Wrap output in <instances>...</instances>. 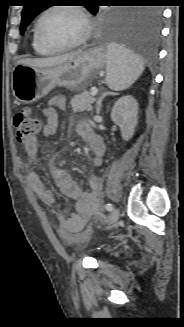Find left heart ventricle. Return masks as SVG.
Returning a JSON list of instances; mask_svg holds the SVG:
<instances>
[{
    "label": "left heart ventricle",
    "mask_w": 184,
    "mask_h": 327,
    "mask_svg": "<svg viewBox=\"0 0 184 327\" xmlns=\"http://www.w3.org/2000/svg\"><path fill=\"white\" fill-rule=\"evenodd\" d=\"M84 32L79 15L68 9H57L47 14L41 23V33L51 44L61 46L78 40Z\"/></svg>",
    "instance_id": "b2bd125f"
}]
</instances>
